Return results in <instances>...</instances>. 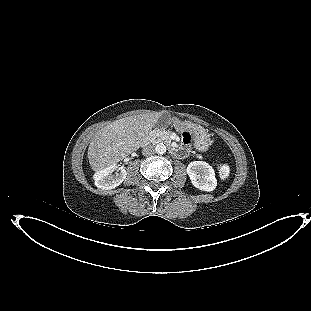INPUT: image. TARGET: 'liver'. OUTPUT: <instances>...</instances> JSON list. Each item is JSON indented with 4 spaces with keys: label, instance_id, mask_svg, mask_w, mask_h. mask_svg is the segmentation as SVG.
Returning a JSON list of instances; mask_svg holds the SVG:
<instances>
[{
    "label": "liver",
    "instance_id": "6515ba94",
    "mask_svg": "<svg viewBox=\"0 0 311 311\" xmlns=\"http://www.w3.org/2000/svg\"><path fill=\"white\" fill-rule=\"evenodd\" d=\"M161 114L146 113L116 120L100 129L88 148L89 164L98 172L137 150Z\"/></svg>",
    "mask_w": 311,
    "mask_h": 311
}]
</instances>
